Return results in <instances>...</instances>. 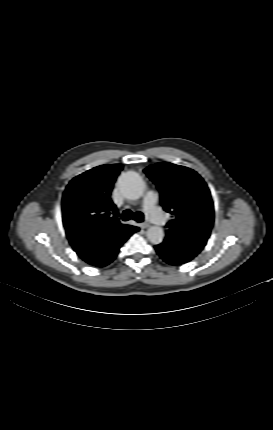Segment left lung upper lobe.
Here are the masks:
<instances>
[{"mask_svg": "<svg viewBox=\"0 0 273 430\" xmlns=\"http://www.w3.org/2000/svg\"><path fill=\"white\" fill-rule=\"evenodd\" d=\"M160 191L162 206L172 215L166 237L189 260L207 243L214 222L210 191L194 170L168 162L144 170Z\"/></svg>", "mask_w": 273, "mask_h": 430, "instance_id": "5c2ea615", "label": "left lung upper lobe"}]
</instances>
